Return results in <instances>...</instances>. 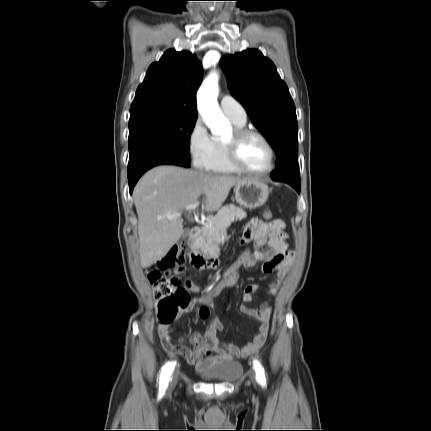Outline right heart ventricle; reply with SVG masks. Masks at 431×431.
<instances>
[{"mask_svg":"<svg viewBox=\"0 0 431 431\" xmlns=\"http://www.w3.org/2000/svg\"><path fill=\"white\" fill-rule=\"evenodd\" d=\"M236 128H243L245 123H239L233 119H231ZM217 142V153L214 163L210 169L213 173L218 174H232L238 172L229 162L227 157V150L224 141H216Z\"/></svg>","mask_w":431,"mask_h":431,"instance_id":"right-heart-ventricle-1","label":"right heart ventricle"}]
</instances>
